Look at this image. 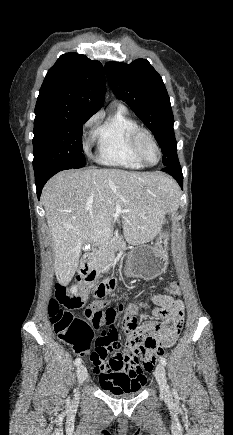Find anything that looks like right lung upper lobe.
I'll return each mask as SVG.
<instances>
[{"label":"right lung upper lobe","mask_w":233,"mask_h":435,"mask_svg":"<svg viewBox=\"0 0 233 435\" xmlns=\"http://www.w3.org/2000/svg\"><path fill=\"white\" fill-rule=\"evenodd\" d=\"M105 92L102 64L82 54L66 53L60 56L46 74L35 115L92 116L102 106Z\"/></svg>","instance_id":"1"}]
</instances>
